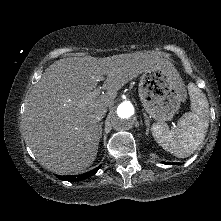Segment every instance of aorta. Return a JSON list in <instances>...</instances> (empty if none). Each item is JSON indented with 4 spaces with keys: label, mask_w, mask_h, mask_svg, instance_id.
<instances>
[{
    "label": "aorta",
    "mask_w": 221,
    "mask_h": 221,
    "mask_svg": "<svg viewBox=\"0 0 221 221\" xmlns=\"http://www.w3.org/2000/svg\"><path fill=\"white\" fill-rule=\"evenodd\" d=\"M135 122V109L129 101L118 103L111 116V123L115 130L124 132L130 130Z\"/></svg>",
    "instance_id": "762f6f07"
}]
</instances>
